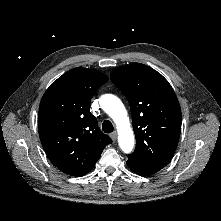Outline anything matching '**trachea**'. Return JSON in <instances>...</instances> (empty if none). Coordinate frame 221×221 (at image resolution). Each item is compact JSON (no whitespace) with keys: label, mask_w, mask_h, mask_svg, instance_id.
Returning <instances> with one entry per match:
<instances>
[{"label":"trachea","mask_w":221,"mask_h":221,"mask_svg":"<svg viewBox=\"0 0 221 221\" xmlns=\"http://www.w3.org/2000/svg\"><path fill=\"white\" fill-rule=\"evenodd\" d=\"M113 125L112 123L109 121V120H105L102 124V130L105 132V133H111L113 132Z\"/></svg>","instance_id":"3493384b"}]
</instances>
